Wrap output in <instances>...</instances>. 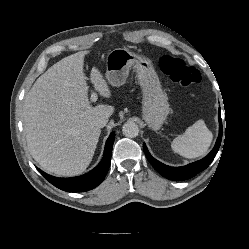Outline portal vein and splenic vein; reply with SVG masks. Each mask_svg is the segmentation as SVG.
Here are the masks:
<instances>
[{"instance_id":"obj_1","label":"portal vein and splenic vein","mask_w":249,"mask_h":249,"mask_svg":"<svg viewBox=\"0 0 249 249\" xmlns=\"http://www.w3.org/2000/svg\"><path fill=\"white\" fill-rule=\"evenodd\" d=\"M91 102H96V100H97V94L95 93V92H93L92 94H91Z\"/></svg>"}]
</instances>
